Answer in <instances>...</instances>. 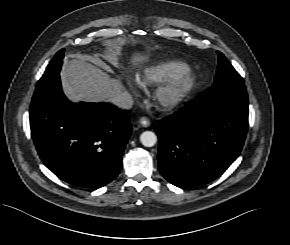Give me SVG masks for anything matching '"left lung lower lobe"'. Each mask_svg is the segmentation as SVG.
Listing matches in <instances>:
<instances>
[{
    "label": "left lung lower lobe",
    "mask_w": 290,
    "mask_h": 245,
    "mask_svg": "<svg viewBox=\"0 0 290 245\" xmlns=\"http://www.w3.org/2000/svg\"><path fill=\"white\" fill-rule=\"evenodd\" d=\"M158 167L177 187L207 184L236 160L248 128L244 83L211 86L181 111L153 125Z\"/></svg>",
    "instance_id": "obj_1"
}]
</instances>
